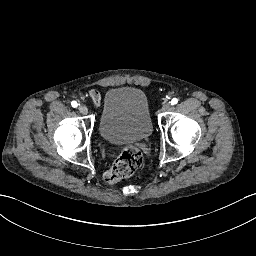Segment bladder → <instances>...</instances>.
Listing matches in <instances>:
<instances>
[{"instance_id":"1","label":"bladder","mask_w":256,"mask_h":256,"mask_svg":"<svg viewBox=\"0 0 256 256\" xmlns=\"http://www.w3.org/2000/svg\"><path fill=\"white\" fill-rule=\"evenodd\" d=\"M149 105L144 93L132 87H114L103 99L99 134L110 143L140 142L151 135Z\"/></svg>"}]
</instances>
